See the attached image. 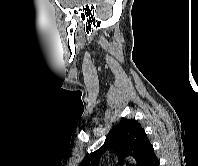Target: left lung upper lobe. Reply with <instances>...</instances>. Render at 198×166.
Segmentation results:
<instances>
[{
  "instance_id": "1",
  "label": "left lung upper lobe",
  "mask_w": 198,
  "mask_h": 166,
  "mask_svg": "<svg viewBox=\"0 0 198 166\" xmlns=\"http://www.w3.org/2000/svg\"><path fill=\"white\" fill-rule=\"evenodd\" d=\"M111 150L118 156V164L126 156H133L137 166H147L154 149L141 125L134 119H129L116 125L108 134L104 145L89 154L80 166H98L101 155Z\"/></svg>"
}]
</instances>
